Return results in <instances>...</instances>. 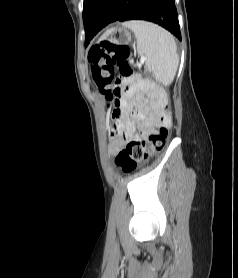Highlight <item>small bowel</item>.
Wrapping results in <instances>:
<instances>
[{
    "label": "small bowel",
    "mask_w": 238,
    "mask_h": 278,
    "mask_svg": "<svg viewBox=\"0 0 238 278\" xmlns=\"http://www.w3.org/2000/svg\"><path fill=\"white\" fill-rule=\"evenodd\" d=\"M115 128L112 131V152L118 151L125 143L139 141L158 120L156 102L147 94L146 86L140 79L127 82L113 112Z\"/></svg>",
    "instance_id": "1"
}]
</instances>
